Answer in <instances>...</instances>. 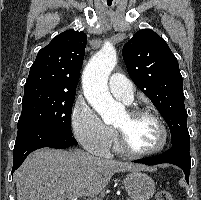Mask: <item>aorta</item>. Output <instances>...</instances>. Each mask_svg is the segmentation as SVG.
<instances>
[{
	"mask_svg": "<svg viewBox=\"0 0 201 200\" xmlns=\"http://www.w3.org/2000/svg\"><path fill=\"white\" fill-rule=\"evenodd\" d=\"M116 63V50L106 43L90 59L82 75L84 95L106 124L114 123L120 115V105L108 90V77Z\"/></svg>",
	"mask_w": 201,
	"mask_h": 200,
	"instance_id": "1",
	"label": "aorta"
}]
</instances>
